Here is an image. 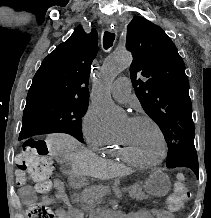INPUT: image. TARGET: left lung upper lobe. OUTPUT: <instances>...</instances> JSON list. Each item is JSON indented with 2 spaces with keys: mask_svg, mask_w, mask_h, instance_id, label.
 Here are the masks:
<instances>
[{
  "mask_svg": "<svg viewBox=\"0 0 211 218\" xmlns=\"http://www.w3.org/2000/svg\"><path fill=\"white\" fill-rule=\"evenodd\" d=\"M126 48L133 56L136 96L167 142V167H190L198 176L189 81L175 44L162 28L136 16L128 25Z\"/></svg>",
  "mask_w": 211,
  "mask_h": 218,
  "instance_id": "left-lung-upper-lobe-1",
  "label": "left lung upper lobe"
}]
</instances>
